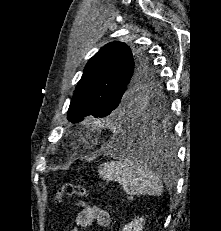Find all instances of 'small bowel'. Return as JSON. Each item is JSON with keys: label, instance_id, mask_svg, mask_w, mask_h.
Returning a JSON list of instances; mask_svg holds the SVG:
<instances>
[{"label": "small bowel", "instance_id": "1", "mask_svg": "<svg viewBox=\"0 0 221 231\" xmlns=\"http://www.w3.org/2000/svg\"><path fill=\"white\" fill-rule=\"evenodd\" d=\"M80 211L76 217V226L71 231H81L82 228L89 227L94 222L101 228L110 225V215L106 210L96 206H89L85 202H78Z\"/></svg>", "mask_w": 221, "mask_h": 231}]
</instances>
